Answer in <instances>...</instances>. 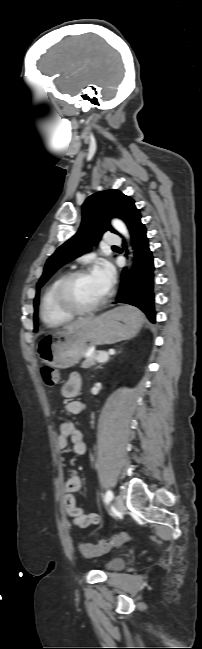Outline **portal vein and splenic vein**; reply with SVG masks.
I'll use <instances>...</instances> for the list:
<instances>
[{
    "label": "portal vein and splenic vein",
    "instance_id": "portal-vein-and-splenic-vein-1",
    "mask_svg": "<svg viewBox=\"0 0 202 649\" xmlns=\"http://www.w3.org/2000/svg\"><path fill=\"white\" fill-rule=\"evenodd\" d=\"M108 353L113 355V354H115V351L114 350H109ZM107 360H108V354H106V353H100V354H98L96 356V361H98L100 363L106 362Z\"/></svg>",
    "mask_w": 202,
    "mask_h": 649
}]
</instances>
